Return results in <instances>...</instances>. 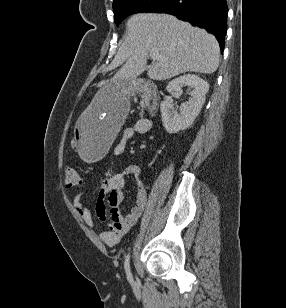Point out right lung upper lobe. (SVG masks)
<instances>
[{"instance_id":"cb5924a9","label":"right lung upper lobe","mask_w":286,"mask_h":308,"mask_svg":"<svg viewBox=\"0 0 286 308\" xmlns=\"http://www.w3.org/2000/svg\"><path fill=\"white\" fill-rule=\"evenodd\" d=\"M118 1H120V0H113V4L117 3Z\"/></svg>"}]
</instances>
